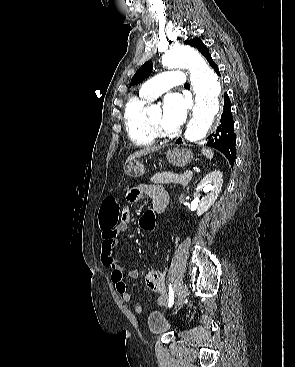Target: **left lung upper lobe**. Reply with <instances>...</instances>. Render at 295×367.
Here are the masks:
<instances>
[{"label":"left lung upper lobe","instance_id":"5c2ea615","mask_svg":"<svg viewBox=\"0 0 295 367\" xmlns=\"http://www.w3.org/2000/svg\"><path fill=\"white\" fill-rule=\"evenodd\" d=\"M184 43L197 48L208 61L212 60L211 54L209 53V49L203 44V42L199 38L186 40L184 41ZM152 70L153 65L151 64V62L150 61L146 62L135 73V75L131 79L130 85L142 82L145 78H147L151 74Z\"/></svg>","mask_w":295,"mask_h":367}]
</instances>
